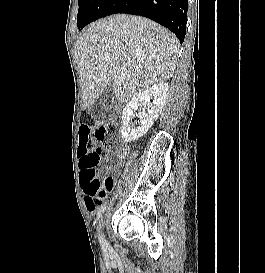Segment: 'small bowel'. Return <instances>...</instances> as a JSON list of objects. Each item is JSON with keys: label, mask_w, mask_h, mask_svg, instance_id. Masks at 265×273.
Listing matches in <instances>:
<instances>
[{"label": "small bowel", "mask_w": 265, "mask_h": 273, "mask_svg": "<svg viewBox=\"0 0 265 273\" xmlns=\"http://www.w3.org/2000/svg\"><path fill=\"white\" fill-rule=\"evenodd\" d=\"M80 129H95V124H80ZM115 154L117 157H122L124 155L123 150H116ZM112 178V177H111ZM113 181V178H112ZM86 196V208L89 212H93L105 199L106 196H94L90 193H85Z\"/></svg>", "instance_id": "small-bowel-1"}]
</instances>
